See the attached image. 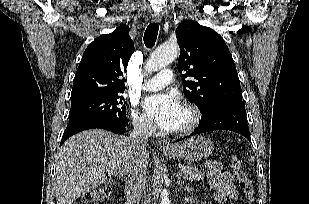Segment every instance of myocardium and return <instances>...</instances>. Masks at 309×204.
Returning <instances> with one entry per match:
<instances>
[{"mask_svg":"<svg viewBox=\"0 0 309 204\" xmlns=\"http://www.w3.org/2000/svg\"><path fill=\"white\" fill-rule=\"evenodd\" d=\"M182 108L189 114V121L184 126L173 130L175 134L191 133L198 127L201 121V112L197 106L191 103H184Z\"/></svg>","mask_w":309,"mask_h":204,"instance_id":"myocardium-1","label":"myocardium"}]
</instances>
